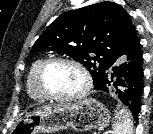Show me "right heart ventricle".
<instances>
[{"label": "right heart ventricle", "instance_id": "obj_1", "mask_svg": "<svg viewBox=\"0 0 153 134\" xmlns=\"http://www.w3.org/2000/svg\"><path fill=\"white\" fill-rule=\"evenodd\" d=\"M43 62H44L43 59H37L32 63L28 71L27 80H26V88L29 97L39 102L45 101V99L40 95L36 87V74Z\"/></svg>", "mask_w": 153, "mask_h": 134}]
</instances>
